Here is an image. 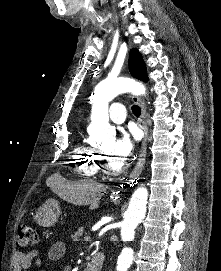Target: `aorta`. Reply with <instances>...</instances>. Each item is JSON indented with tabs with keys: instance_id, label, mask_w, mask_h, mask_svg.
I'll return each mask as SVG.
<instances>
[{
	"instance_id": "obj_1",
	"label": "aorta",
	"mask_w": 221,
	"mask_h": 271,
	"mask_svg": "<svg viewBox=\"0 0 221 271\" xmlns=\"http://www.w3.org/2000/svg\"><path fill=\"white\" fill-rule=\"evenodd\" d=\"M145 87L129 78L106 79L95 88L96 99L92 107V128L100 133L112 132L109 125L108 105L116 96L125 92L145 94ZM148 191L144 187L135 190L121 225V239L132 241L135 229L145 217ZM133 249L124 247L117 260V271H128L133 262Z\"/></svg>"
}]
</instances>
